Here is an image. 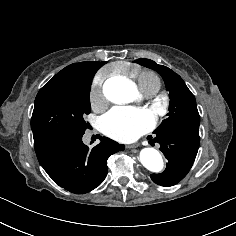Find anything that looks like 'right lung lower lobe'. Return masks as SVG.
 I'll return each mask as SVG.
<instances>
[{
    "mask_svg": "<svg viewBox=\"0 0 236 236\" xmlns=\"http://www.w3.org/2000/svg\"><path fill=\"white\" fill-rule=\"evenodd\" d=\"M83 134L55 132L34 138L41 166L59 186L75 194L96 188L107 175L108 157L125 148L100 137L101 142L89 150L82 142Z\"/></svg>",
    "mask_w": 236,
    "mask_h": 236,
    "instance_id": "98d812e1",
    "label": "right lung lower lobe"
}]
</instances>
